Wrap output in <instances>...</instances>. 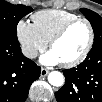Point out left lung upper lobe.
Returning <instances> with one entry per match:
<instances>
[{"mask_svg": "<svg viewBox=\"0 0 102 102\" xmlns=\"http://www.w3.org/2000/svg\"><path fill=\"white\" fill-rule=\"evenodd\" d=\"M80 11L90 21L94 31V45L102 44V18L95 12L82 8Z\"/></svg>", "mask_w": 102, "mask_h": 102, "instance_id": "1", "label": "left lung upper lobe"}]
</instances>
